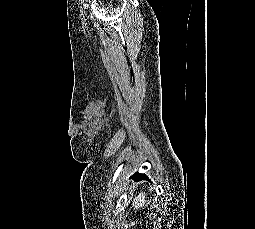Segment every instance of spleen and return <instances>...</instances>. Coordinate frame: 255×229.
Wrapping results in <instances>:
<instances>
[{
    "instance_id": "1",
    "label": "spleen",
    "mask_w": 255,
    "mask_h": 229,
    "mask_svg": "<svg viewBox=\"0 0 255 229\" xmlns=\"http://www.w3.org/2000/svg\"><path fill=\"white\" fill-rule=\"evenodd\" d=\"M145 204V194L140 192L137 197L133 199V207L136 209L141 208Z\"/></svg>"
}]
</instances>
